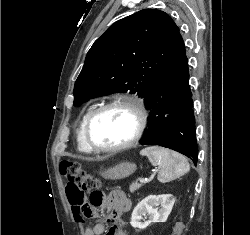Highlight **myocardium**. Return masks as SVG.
<instances>
[{"label": "myocardium", "mask_w": 250, "mask_h": 235, "mask_svg": "<svg viewBox=\"0 0 250 235\" xmlns=\"http://www.w3.org/2000/svg\"><path fill=\"white\" fill-rule=\"evenodd\" d=\"M113 107H124L126 109H129L135 116L136 118V128L131 136V138L121 144L115 145V146H109V147H103V146H98L94 144L91 140L90 136V129L91 126L94 122V120L104 111L113 108ZM147 124V114L145 107L143 103L136 99V98H129V97H120V98H114L98 107H96L88 116L84 129H83V137L84 141L87 145V147L91 151H95L98 153H115L119 152L125 149H128L135 144L138 143L140 138L142 137L144 130L146 128Z\"/></svg>", "instance_id": "obj_1"}]
</instances>
